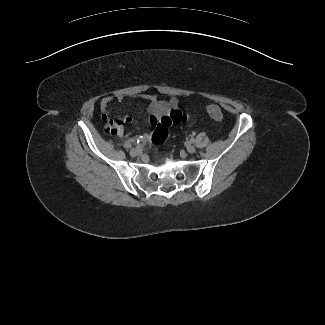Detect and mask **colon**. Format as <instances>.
<instances>
[{
	"mask_svg": "<svg viewBox=\"0 0 325 325\" xmlns=\"http://www.w3.org/2000/svg\"><path fill=\"white\" fill-rule=\"evenodd\" d=\"M207 112L209 113V115L217 120V121H221L223 119V114L220 110V108L216 105L213 104H208L205 106ZM107 132L111 133V134H115V130L114 129H107Z\"/></svg>",
	"mask_w": 325,
	"mask_h": 325,
	"instance_id": "5ec220e1",
	"label": "colon"
}]
</instances>
